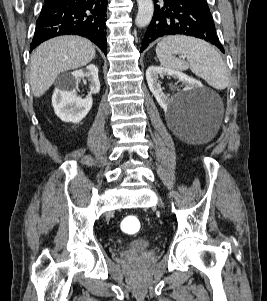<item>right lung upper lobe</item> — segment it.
<instances>
[{
	"label": "right lung upper lobe",
	"mask_w": 267,
	"mask_h": 301,
	"mask_svg": "<svg viewBox=\"0 0 267 301\" xmlns=\"http://www.w3.org/2000/svg\"><path fill=\"white\" fill-rule=\"evenodd\" d=\"M53 0H45V3H50L52 2Z\"/></svg>",
	"instance_id": "obj_1"
}]
</instances>
